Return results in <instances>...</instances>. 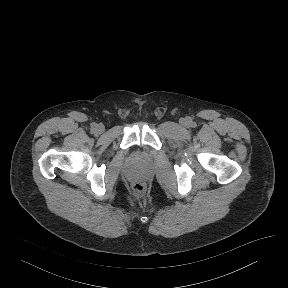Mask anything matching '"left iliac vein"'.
Masks as SVG:
<instances>
[{
	"mask_svg": "<svg viewBox=\"0 0 288 288\" xmlns=\"http://www.w3.org/2000/svg\"><path fill=\"white\" fill-rule=\"evenodd\" d=\"M181 123H182V125L187 126L188 125V120L187 119H182Z\"/></svg>",
	"mask_w": 288,
	"mask_h": 288,
	"instance_id": "1",
	"label": "left iliac vein"
}]
</instances>
